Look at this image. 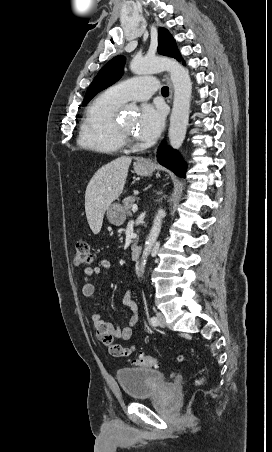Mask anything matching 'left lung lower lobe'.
Wrapping results in <instances>:
<instances>
[{
	"mask_svg": "<svg viewBox=\"0 0 272 452\" xmlns=\"http://www.w3.org/2000/svg\"><path fill=\"white\" fill-rule=\"evenodd\" d=\"M157 157L161 165L172 170L176 175L180 177L185 176L184 164L182 162L181 156L176 150H173L170 147H166L165 143H162V145L159 148Z\"/></svg>",
	"mask_w": 272,
	"mask_h": 452,
	"instance_id": "1",
	"label": "left lung lower lobe"
}]
</instances>
